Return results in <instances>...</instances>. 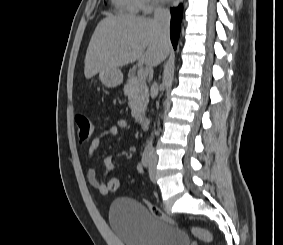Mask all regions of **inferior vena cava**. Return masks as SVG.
<instances>
[{
	"instance_id": "1",
	"label": "inferior vena cava",
	"mask_w": 283,
	"mask_h": 245,
	"mask_svg": "<svg viewBox=\"0 0 283 245\" xmlns=\"http://www.w3.org/2000/svg\"><path fill=\"white\" fill-rule=\"evenodd\" d=\"M153 21L159 25L163 31L164 37L169 39V25H170V12L165 8H156L154 11ZM157 87L156 83L152 85V97L155 96V88ZM151 157L155 159V154L151 151Z\"/></svg>"
}]
</instances>
